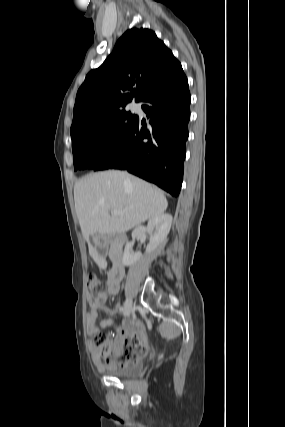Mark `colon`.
<instances>
[{
  "mask_svg": "<svg viewBox=\"0 0 285 427\" xmlns=\"http://www.w3.org/2000/svg\"><path fill=\"white\" fill-rule=\"evenodd\" d=\"M87 288L90 295L95 297L104 293L107 290V285L99 277L91 273L87 277ZM93 339L100 348L101 355L112 361L129 363L137 360L145 353V347L136 335L131 336L127 340V344L123 346L120 356H116L112 351V343L106 335L101 333L95 334Z\"/></svg>",
  "mask_w": 285,
  "mask_h": 427,
  "instance_id": "obj_1",
  "label": "colon"
}]
</instances>
